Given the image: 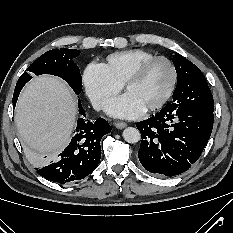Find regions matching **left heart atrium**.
<instances>
[{
    "mask_svg": "<svg viewBox=\"0 0 233 233\" xmlns=\"http://www.w3.org/2000/svg\"><path fill=\"white\" fill-rule=\"evenodd\" d=\"M145 110L129 93L112 100L106 107L108 114L120 118H135L142 115Z\"/></svg>",
    "mask_w": 233,
    "mask_h": 233,
    "instance_id": "1",
    "label": "left heart atrium"
}]
</instances>
